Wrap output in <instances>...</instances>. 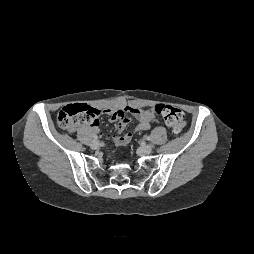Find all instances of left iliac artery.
I'll return each mask as SVG.
<instances>
[{
    "instance_id": "left-iliac-artery-1",
    "label": "left iliac artery",
    "mask_w": 254,
    "mask_h": 254,
    "mask_svg": "<svg viewBox=\"0 0 254 254\" xmlns=\"http://www.w3.org/2000/svg\"><path fill=\"white\" fill-rule=\"evenodd\" d=\"M145 138H146V140H148V141L150 140V137H149V136H146Z\"/></svg>"
}]
</instances>
